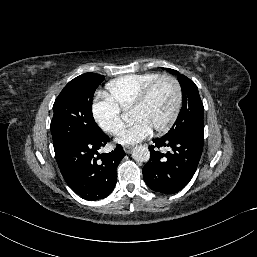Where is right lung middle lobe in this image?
<instances>
[{
    "instance_id": "dd1d6c3e",
    "label": "right lung middle lobe",
    "mask_w": 257,
    "mask_h": 257,
    "mask_svg": "<svg viewBox=\"0 0 257 257\" xmlns=\"http://www.w3.org/2000/svg\"><path fill=\"white\" fill-rule=\"evenodd\" d=\"M104 76L85 73L71 80L56 98L51 121L54 150L72 141H94L105 133L93 118L92 99Z\"/></svg>"
}]
</instances>
